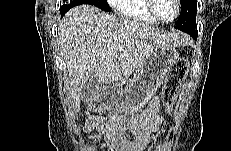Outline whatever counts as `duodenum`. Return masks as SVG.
I'll return each instance as SVG.
<instances>
[{
	"label": "duodenum",
	"instance_id": "1",
	"mask_svg": "<svg viewBox=\"0 0 231 151\" xmlns=\"http://www.w3.org/2000/svg\"><path fill=\"white\" fill-rule=\"evenodd\" d=\"M102 101H103L104 104H107V101L105 100L104 97H102Z\"/></svg>",
	"mask_w": 231,
	"mask_h": 151
}]
</instances>
